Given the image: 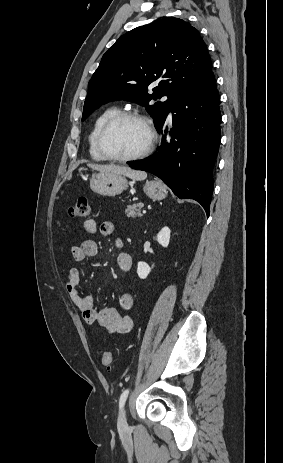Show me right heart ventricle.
Here are the masks:
<instances>
[{
    "label": "right heart ventricle",
    "mask_w": 283,
    "mask_h": 463,
    "mask_svg": "<svg viewBox=\"0 0 283 463\" xmlns=\"http://www.w3.org/2000/svg\"><path fill=\"white\" fill-rule=\"evenodd\" d=\"M119 112L120 110L117 106H110L101 111L95 118L88 135V151L92 159L97 161L106 160L105 157L100 153L97 146L98 132L109 118L118 114Z\"/></svg>",
    "instance_id": "obj_1"
}]
</instances>
